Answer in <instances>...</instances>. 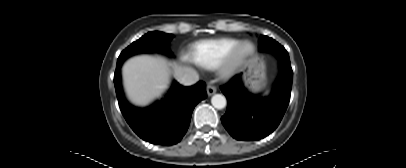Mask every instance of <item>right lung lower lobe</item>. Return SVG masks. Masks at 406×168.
Wrapping results in <instances>:
<instances>
[{
	"label": "right lung lower lobe",
	"instance_id": "98d812e1",
	"mask_svg": "<svg viewBox=\"0 0 406 168\" xmlns=\"http://www.w3.org/2000/svg\"><path fill=\"white\" fill-rule=\"evenodd\" d=\"M121 66H116L114 85L120 110L129 126L140 138L152 144L178 143L189 127L194 107L207 96L205 83L200 81L185 87L174 81L161 99L149 106L138 107L124 95Z\"/></svg>",
	"mask_w": 406,
	"mask_h": 168
}]
</instances>
